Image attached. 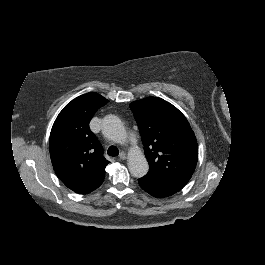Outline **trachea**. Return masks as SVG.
I'll return each mask as SVG.
<instances>
[{
    "label": "trachea",
    "instance_id": "1",
    "mask_svg": "<svg viewBox=\"0 0 265 265\" xmlns=\"http://www.w3.org/2000/svg\"><path fill=\"white\" fill-rule=\"evenodd\" d=\"M109 156H118L119 150L115 146H110L107 150Z\"/></svg>",
    "mask_w": 265,
    "mask_h": 265
}]
</instances>
